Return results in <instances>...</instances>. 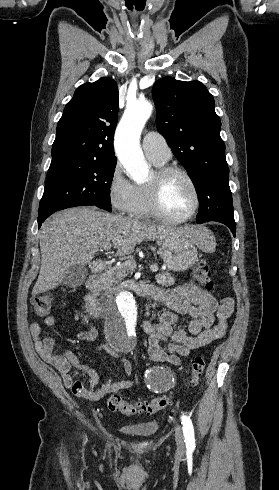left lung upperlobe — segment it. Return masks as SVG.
Returning a JSON list of instances; mask_svg holds the SVG:
<instances>
[{
  "label": "left lung upper lobe",
  "mask_w": 279,
  "mask_h": 490,
  "mask_svg": "<svg viewBox=\"0 0 279 490\" xmlns=\"http://www.w3.org/2000/svg\"><path fill=\"white\" fill-rule=\"evenodd\" d=\"M156 124L191 176L199 198L197 223H235L221 122L213 96L199 81L158 80L152 89Z\"/></svg>",
  "instance_id": "left-lung-upper-lobe-1"
}]
</instances>
